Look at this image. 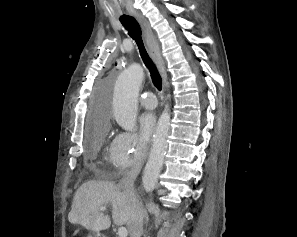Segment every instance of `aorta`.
I'll return each mask as SVG.
<instances>
[{
	"label": "aorta",
	"mask_w": 297,
	"mask_h": 237,
	"mask_svg": "<svg viewBox=\"0 0 297 237\" xmlns=\"http://www.w3.org/2000/svg\"><path fill=\"white\" fill-rule=\"evenodd\" d=\"M144 78L140 64H132L117 78L113 96V113L118 125L125 131L137 129L138 94ZM170 129V113H162L153 138V145L145 166L142 182L146 192H152L158 182L164 162L167 138Z\"/></svg>",
	"instance_id": "762f6f07"
}]
</instances>
